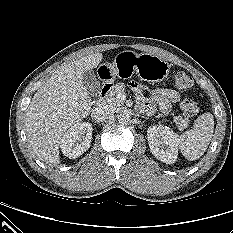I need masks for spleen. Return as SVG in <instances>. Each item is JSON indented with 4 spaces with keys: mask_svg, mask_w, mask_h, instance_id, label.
Here are the masks:
<instances>
[{
    "mask_svg": "<svg viewBox=\"0 0 233 233\" xmlns=\"http://www.w3.org/2000/svg\"><path fill=\"white\" fill-rule=\"evenodd\" d=\"M214 131V117L211 113L200 115L191 130L179 139V149L189 161L199 159L207 150Z\"/></svg>",
    "mask_w": 233,
    "mask_h": 233,
    "instance_id": "spleen-1",
    "label": "spleen"
}]
</instances>
